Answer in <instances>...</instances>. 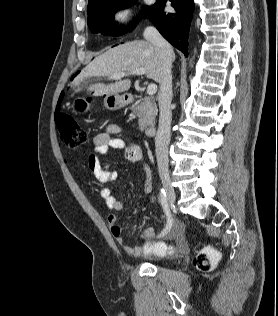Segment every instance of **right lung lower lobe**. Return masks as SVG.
Masks as SVG:
<instances>
[{"label":"right lung lower lobe","mask_w":278,"mask_h":316,"mask_svg":"<svg viewBox=\"0 0 278 316\" xmlns=\"http://www.w3.org/2000/svg\"><path fill=\"white\" fill-rule=\"evenodd\" d=\"M167 0H157L149 17L173 46L188 56V32L194 11L193 0H170L176 13L163 12Z\"/></svg>","instance_id":"98d812e1"}]
</instances>
